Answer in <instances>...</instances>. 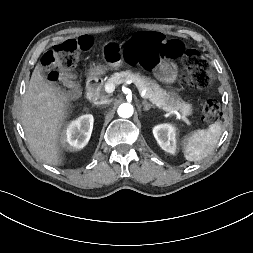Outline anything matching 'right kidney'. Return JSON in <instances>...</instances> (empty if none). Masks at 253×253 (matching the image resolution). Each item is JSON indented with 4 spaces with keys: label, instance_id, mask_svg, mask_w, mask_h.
Here are the masks:
<instances>
[{
    "label": "right kidney",
    "instance_id": "1",
    "mask_svg": "<svg viewBox=\"0 0 253 253\" xmlns=\"http://www.w3.org/2000/svg\"><path fill=\"white\" fill-rule=\"evenodd\" d=\"M93 115L87 114L72 121L61 135L62 146L70 151L87 145L93 130Z\"/></svg>",
    "mask_w": 253,
    "mask_h": 253
}]
</instances>
